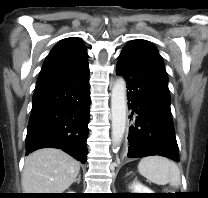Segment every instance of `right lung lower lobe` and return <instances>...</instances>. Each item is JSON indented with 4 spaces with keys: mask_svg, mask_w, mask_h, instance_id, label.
<instances>
[{
    "mask_svg": "<svg viewBox=\"0 0 208 198\" xmlns=\"http://www.w3.org/2000/svg\"><path fill=\"white\" fill-rule=\"evenodd\" d=\"M89 110V64L67 79L35 88L26 151L58 148L85 163Z\"/></svg>",
    "mask_w": 208,
    "mask_h": 198,
    "instance_id": "right-lung-lower-lobe-1",
    "label": "right lung lower lobe"
}]
</instances>
